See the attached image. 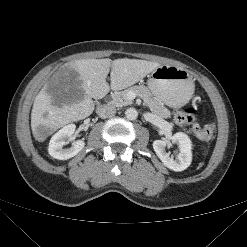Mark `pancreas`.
Masks as SVG:
<instances>
[{"mask_svg":"<svg viewBox=\"0 0 247 247\" xmlns=\"http://www.w3.org/2000/svg\"><path fill=\"white\" fill-rule=\"evenodd\" d=\"M132 92L136 96H139L149 107L150 111L161 118L170 117V111L160 102L156 97L152 95L150 90L143 86H133L121 92H115L112 94L111 104L116 107H122L125 105L132 104V99L129 98L128 94Z\"/></svg>","mask_w":247,"mask_h":247,"instance_id":"pancreas-1","label":"pancreas"}]
</instances>
